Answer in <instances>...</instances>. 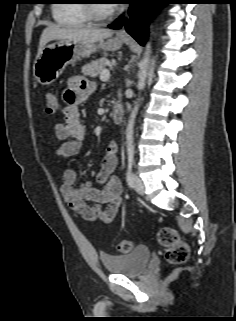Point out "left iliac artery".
Masks as SVG:
<instances>
[{"instance_id": "left-iliac-artery-1", "label": "left iliac artery", "mask_w": 236, "mask_h": 321, "mask_svg": "<svg viewBox=\"0 0 236 321\" xmlns=\"http://www.w3.org/2000/svg\"><path fill=\"white\" fill-rule=\"evenodd\" d=\"M134 164V152L129 151L128 152V166H127V171H126V180L129 185V187H133V172H132V167Z\"/></svg>"}]
</instances>
